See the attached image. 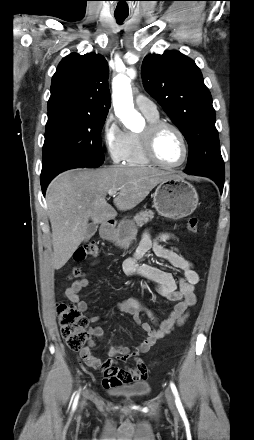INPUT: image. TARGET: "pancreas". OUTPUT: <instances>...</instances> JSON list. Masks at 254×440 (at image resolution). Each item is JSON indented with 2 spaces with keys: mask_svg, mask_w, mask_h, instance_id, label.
Returning <instances> with one entry per match:
<instances>
[{
  "mask_svg": "<svg viewBox=\"0 0 254 440\" xmlns=\"http://www.w3.org/2000/svg\"><path fill=\"white\" fill-rule=\"evenodd\" d=\"M154 218V212L149 211H140L133 218V224L137 227H142L144 224L148 223Z\"/></svg>",
  "mask_w": 254,
  "mask_h": 440,
  "instance_id": "obj_1",
  "label": "pancreas"
}]
</instances>
